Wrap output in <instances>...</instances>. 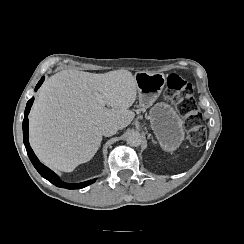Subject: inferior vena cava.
<instances>
[{"instance_id": "602c4592", "label": "inferior vena cava", "mask_w": 244, "mask_h": 244, "mask_svg": "<svg viewBox=\"0 0 244 244\" xmlns=\"http://www.w3.org/2000/svg\"><path fill=\"white\" fill-rule=\"evenodd\" d=\"M118 131V126L116 123H108L102 126V134L104 136H111Z\"/></svg>"}]
</instances>
